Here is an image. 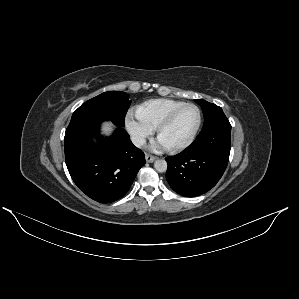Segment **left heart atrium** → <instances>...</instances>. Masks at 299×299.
Masks as SVG:
<instances>
[{"mask_svg": "<svg viewBox=\"0 0 299 299\" xmlns=\"http://www.w3.org/2000/svg\"><path fill=\"white\" fill-rule=\"evenodd\" d=\"M157 146L158 147H167V145L161 139H159Z\"/></svg>", "mask_w": 299, "mask_h": 299, "instance_id": "1", "label": "left heart atrium"}]
</instances>
